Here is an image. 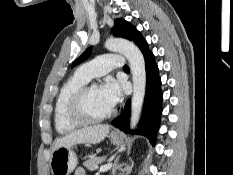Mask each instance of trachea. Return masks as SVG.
Here are the masks:
<instances>
[{
    "mask_svg": "<svg viewBox=\"0 0 233 175\" xmlns=\"http://www.w3.org/2000/svg\"><path fill=\"white\" fill-rule=\"evenodd\" d=\"M123 69H124V70H129V66L125 65V66L123 67Z\"/></svg>",
    "mask_w": 233,
    "mask_h": 175,
    "instance_id": "1",
    "label": "trachea"
}]
</instances>
